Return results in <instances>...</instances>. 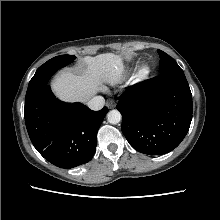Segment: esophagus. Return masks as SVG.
Masks as SVG:
<instances>
[{
  "label": "esophagus",
  "mask_w": 220,
  "mask_h": 220,
  "mask_svg": "<svg viewBox=\"0 0 220 220\" xmlns=\"http://www.w3.org/2000/svg\"><path fill=\"white\" fill-rule=\"evenodd\" d=\"M106 105H107V107H109V108H113L115 105H114V102L113 101H111V100H108L107 102H106Z\"/></svg>",
  "instance_id": "obj_1"
}]
</instances>
